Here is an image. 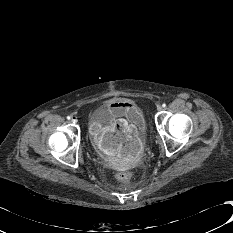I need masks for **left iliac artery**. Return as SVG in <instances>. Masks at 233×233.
<instances>
[{
	"instance_id": "44dca946",
	"label": "left iliac artery",
	"mask_w": 233,
	"mask_h": 233,
	"mask_svg": "<svg viewBox=\"0 0 233 233\" xmlns=\"http://www.w3.org/2000/svg\"><path fill=\"white\" fill-rule=\"evenodd\" d=\"M162 106L165 108V107H166V104L164 103Z\"/></svg>"
}]
</instances>
